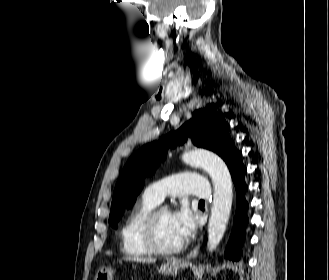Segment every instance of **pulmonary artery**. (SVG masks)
<instances>
[{"instance_id": "1", "label": "pulmonary artery", "mask_w": 329, "mask_h": 280, "mask_svg": "<svg viewBox=\"0 0 329 280\" xmlns=\"http://www.w3.org/2000/svg\"><path fill=\"white\" fill-rule=\"evenodd\" d=\"M144 193L157 202H161L166 195L183 196L190 194L198 198L208 199L210 185L205 178L197 173L182 172L150 184Z\"/></svg>"}]
</instances>
